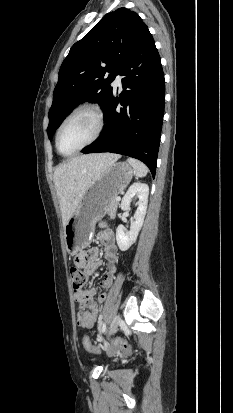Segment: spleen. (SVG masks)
<instances>
[{
  "label": "spleen",
  "mask_w": 233,
  "mask_h": 413,
  "mask_svg": "<svg viewBox=\"0 0 233 413\" xmlns=\"http://www.w3.org/2000/svg\"><path fill=\"white\" fill-rule=\"evenodd\" d=\"M127 161L134 168V173L137 177H144L147 175L148 168L145 164L133 158H128Z\"/></svg>",
  "instance_id": "spleen-1"
}]
</instances>
